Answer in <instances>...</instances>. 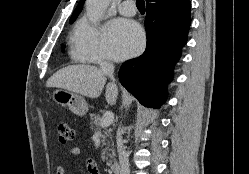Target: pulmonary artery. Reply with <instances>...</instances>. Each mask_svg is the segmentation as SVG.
<instances>
[{"mask_svg": "<svg viewBox=\"0 0 249 174\" xmlns=\"http://www.w3.org/2000/svg\"><path fill=\"white\" fill-rule=\"evenodd\" d=\"M118 10L123 15L134 16L136 14L135 2L133 0H126L119 5Z\"/></svg>", "mask_w": 249, "mask_h": 174, "instance_id": "pulmonary-artery-1", "label": "pulmonary artery"}]
</instances>
